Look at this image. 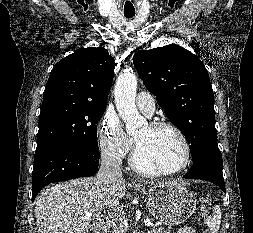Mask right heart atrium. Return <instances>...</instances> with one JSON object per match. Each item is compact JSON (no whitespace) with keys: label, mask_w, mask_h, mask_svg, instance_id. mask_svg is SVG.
I'll list each match as a JSON object with an SVG mask.
<instances>
[{"label":"right heart atrium","mask_w":253,"mask_h":233,"mask_svg":"<svg viewBox=\"0 0 253 233\" xmlns=\"http://www.w3.org/2000/svg\"><path fill=\"white\" fill-rule=\"evenodd\" d=\"M98 136L101 152L116 161H122L132 148V139L114 115L106 114L102 118Z\"/></svg>","instance_id":"obj_1"}]
</instances>
